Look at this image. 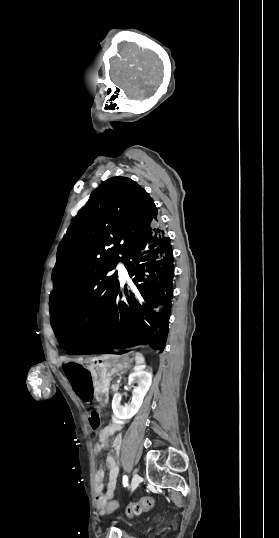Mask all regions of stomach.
Wrapping results in <instances>:
<instances>
[{
	"instance_id": "0dacf381",
	"label": "stomach",
	"mask_w": 279,
	"mask_h": 538,
	"mask_svg": "<svg viewBox=\"0 0 279 538\" xmlns=\"http://www.w3.org/2000/svg\"><path fill=\"white\" fill-rule=\"evenodd\" d=\"M99 367L97 369L96 398L100 408L105 409L109 405V386L112 378L119 374L120 370L129 368L132 364L131 353H99Z\"/></svg>"
}]
</instances>
